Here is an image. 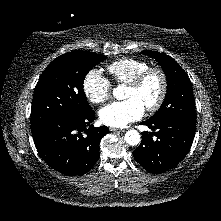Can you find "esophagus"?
<instances>
[{"label":"esophagus","mask_w":221,"mask_h":221,"mask_svg":"<svg viewBox=\"0 0 221 221\" xmlns=\"http://www.w3.org/2000/svg\"><path fill=\"white\" fill-rule=\"evenodd\" d=\"M110 131H113V132H124L125 130L124 129H119V128L111 127Z\"/></svg>","instance_id":"1"}]
</instances>
